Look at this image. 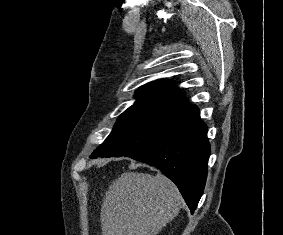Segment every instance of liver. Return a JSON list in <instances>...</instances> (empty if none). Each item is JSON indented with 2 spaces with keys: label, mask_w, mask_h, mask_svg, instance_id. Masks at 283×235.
<instances>
[{
  "label": "liver",
  "mask_w": 283,
  "mask_h": 235,
  "mask_svg": "<svg viewBox=\"0 0 283 235\" xmlns=\"http://www.w3.org/2000/svg\"><path fill=\"white\" fill-rule=\"evenodd\" d=\"M176 185L165 176L124 172L103 199L102 235H157L181 208Z\"/></svg>",
  "instance_id": "liver-1"
}]
</instances>
